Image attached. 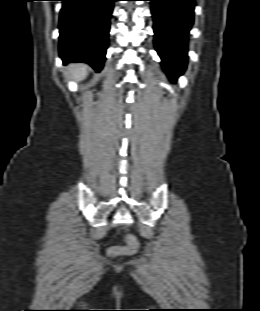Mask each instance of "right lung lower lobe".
Instances as JSON below:
<instances>
[{"label": "right lung lower lobe", "instance_id": "98d812e1", "mask_svg": "<svg viewBox=\"0 0 260 311\" xmlns=\"http://www.w3.org/2000/svg\"><path fill=\"white\" fill-rule=\"evenodd\" d=\"M59 54L64 63L86 62L100 71L115 0H60Z\"/></svg>", "mask_w": 260, "mask_h": 311}]
</instances>
